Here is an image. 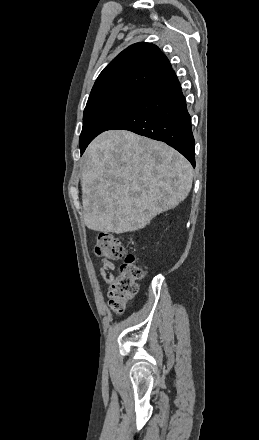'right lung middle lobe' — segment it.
<instances>
[{
  "mask_svg": "<svg viewBox=\"0 0 259 440\" xmlns=\"http://www.w3.org/2000/svg\"><path fill=\"white\" fill-rule=\"evenodd\" d=\"M146 93L145 90H120L88 100L79 138L81 152L97 135L126 115Z\"/></svg>",
  "mask_w": 259,
  "mask_h": 440,
  "instance_id": "right-lung-middle-lobe-1",
  "label": "right lung middle lobe"
}]
</instances>
